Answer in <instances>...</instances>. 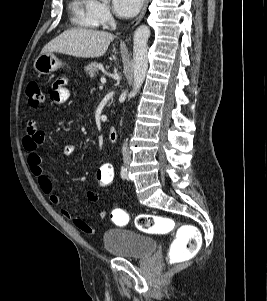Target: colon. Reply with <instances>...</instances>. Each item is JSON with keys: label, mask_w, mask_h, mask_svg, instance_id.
I'll use <instances>...</instances> for the list:
<instances>
[{"label": "colon", "mask_w": 267, "mask_h": 301, "mask_svg": "<svg viewBox=\"0 0 267 301\" xmlns=\"http://www.w3.org/2000/svg\"><path fill=\"white\" fill-rule=\"evenodd\" d=\"M26 93L29 103L38 106L43 102L44 95L36 82L27 85ZM114 181V169L110 163L101 164L95 174V183L100 191H107ZM111 219L116 224H126L129 215L126 210L117 208L112 211ZM136 227L145 233L166 234L175 229L172 219L152 214H139L135 219ZM200 233L194 226L183 225L176 228L175 239L169 249V260L171 263H180L194 257L200 249Z\"/></svg>", "instance_id": "1"}]
</instances>
